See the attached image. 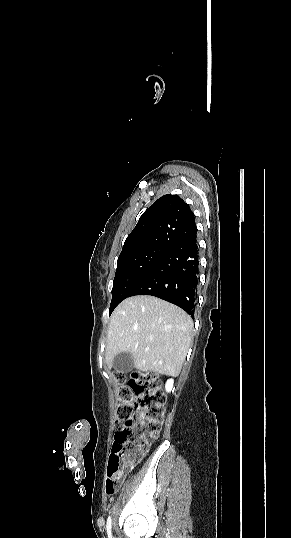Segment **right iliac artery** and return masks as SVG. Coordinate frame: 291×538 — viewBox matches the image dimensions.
Returning <instances> with one entry per match:
<instances>
[{"instance_id": "1", "label": "right iliac artery", "mask_w": 291, "mask_h": 538, "mask_svg": "<svg viewBox=\"0 0 291 538\" xmlns=\"http://www.w3.org/2000/svg\"><path fill=\"white\" fill-rule=\"evenodd\" d=\"M111 524H112V520H111V517L109 516L107 519V524H106V530H107V534L109 538H112Z\"/></svg>"}]
</instances>
